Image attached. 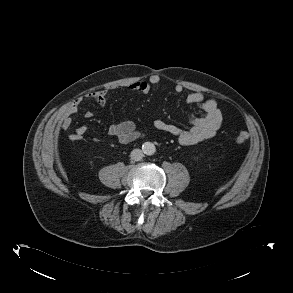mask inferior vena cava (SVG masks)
I'll use <instances>...</instances> for the list:
<instances>
[{
  "label": "inferior vena cava",
  "mask_w": 293,
  "mask_h": 293,
  "mask_svg": "<svg viewBox=\"0 0 293 293\" xmlns=\"http://www.w3.org/2000/svg\"><path fill=\"white\" fill-rule=\"evenodd\" d=\"M143 154L140 149H133L130 153V158L134 161H139L142 158Z\"/></svg>",
  "instance_id": "obj_1"
}]
</instances>
